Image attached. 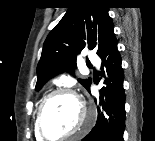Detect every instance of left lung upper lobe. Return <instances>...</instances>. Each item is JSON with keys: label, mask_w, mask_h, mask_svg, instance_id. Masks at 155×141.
<instances>
[{"label": "left lung upper lobe", "mask_w": 155, "mask_h": 141, "mask_svg": "<svg viewBox=\"0 0 155 141\" xmlns=\"http://www.w3.org/2000/svg\"><path fill=\"white\" fill-rule=\"evenodd\" d=\"M114 34L113 22L104 0H72L61 21L48 34L37 66L39 90L54 75L73 71L76 56L85 47L99 55ZM78 81L87 89L91 79Z\"/></svg>", "instance_id": "5c2ea615"}]
</instances>
